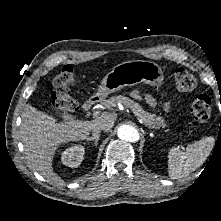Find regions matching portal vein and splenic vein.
I'll list each match as a JSON object with an SVG mask.
<instances>
[{
    "label": "portal vein and splenic vein",
    "instance_id": "18ae733b",
    "mask_svg": "<svg viewBox=\"0 0 221 221\" xmlns=\"http://www.w3.org/2000/svg\"><path fill=\"white\" fill-rule=\"evenodd\" d=\"M97 115H98V113L94 114V116H97Z\"/></svg>",
    "mask_w": 221,
    "mask_h": 221
}]
</instances>
